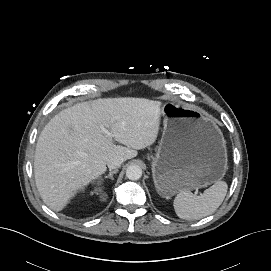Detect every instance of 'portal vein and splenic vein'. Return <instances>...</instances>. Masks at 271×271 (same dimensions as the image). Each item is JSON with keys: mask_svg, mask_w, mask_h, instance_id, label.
Returning a JSON list of instances; mask_svg holds the SVG:
<instances>
[{"mask_svg": "<svg viewBox=\"0 0 271 271\" xmlns=\"http://www.w3.org/2000/svg\"><path fill=\"white\" fill-rule=\"evenodd\" d=\"M102 130L104 131V133H105L109 138L112 137L111 133H110L106 128L102 127Z\"/></svg>", "mask_w": 271, "mask_h": 271, "instance_id": "portal-vein-and-splenic-vein-1", "label": "portal vein and splenic vein"}]
</instances>
